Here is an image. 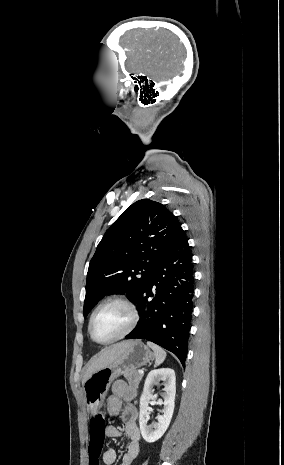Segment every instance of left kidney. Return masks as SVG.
Returning <instances> with one entry per match:
<instances>
[{
	"label": "left kidney",
	"mask_w": 284,
	"mask_h": 465,
	"mask_svg": "<svg viewBox=\"0 0 284 465\" xmlns=\"http://www.w3.org/2000/svg\"><path fill=\"white\" fill-rule=\"evenodd\" d=\"M159 381H164L163 391H165L162 395L164 401H162V399H159L158 401V405H164L162 411H160L162 415H158L157 423L147 425L146 417L149 411L148 403L150 399H154L151 393V387L152 385H155V383H159ZM175 381L176 377L173 369H155V371H150L149 375H147L139 405L140 431L144 441H147V443H155V441L161 439L171 423L175 407Z\"/></svg>",
	"instance_id": "5707ae66"
}]
</instances>
